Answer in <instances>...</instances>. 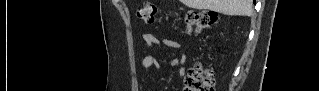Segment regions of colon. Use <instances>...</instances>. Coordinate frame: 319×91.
Listing matches in <instances>:
<instances>
[{"label":"colon","instance_id":"1","mask_svg":"<svg viewBox=\"0 0 319 91\" xmlns=\"http://www.w3.org/2000/svg\"><path fill=\"white\" fill-rule=\"evenodd\" d=\"M157 15V5L146 3L137 10L139 20L154 24ZM217 16L208 11L188 12L181 17L182 26L188 32H200L204 29L214 27L217 24ZM186 91H214L213 72L196 63L187 73L185 80Z\"/></svg>","mask_w":319,"mask_h":91}]
</instances>
